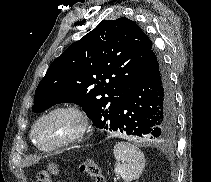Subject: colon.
Here are the masks:
<instances>
[{"instance_id":"5ec220e1","label":"colon","mask_w":211,"mask_h":182,"mask_svg":"<svg viewBox=\"0 0 211 182\" xmlns=\"http://www.w3.org/2000/svg\"><path fill=\"white\" fill-rule=\"evenodd\" d=\"M79 171L92 178L95 182H106L99 164L94 160H86L79 165ZM58 168L56 165H49L47 170L41 171L36 176V182H51L50 176L57 175Z\"/></svg>"}]
</instances>
